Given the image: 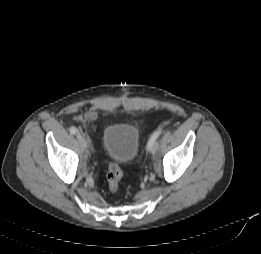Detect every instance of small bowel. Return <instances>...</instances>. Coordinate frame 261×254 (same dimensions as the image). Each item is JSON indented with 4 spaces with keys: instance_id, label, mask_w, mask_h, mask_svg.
Returning <instances> with one entry per match:
<instances>
[{
    "instance_id": "1",
    "label": "small bowel",
    "mask_w": 261,
    "mask_h": 254,
    "mask_svg": "<svg viewBox=\"0 0 261 254\" xmlns=\"http://www.w3.org/2000/svg\"><path fill=\"white\" fill-rule=\"evenodd\" d=\"M98 114L94 110H89L78 116V120L84 124L90 125L94 129L98 122Z\"/></svg>"
}]
</instances>
